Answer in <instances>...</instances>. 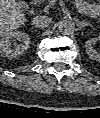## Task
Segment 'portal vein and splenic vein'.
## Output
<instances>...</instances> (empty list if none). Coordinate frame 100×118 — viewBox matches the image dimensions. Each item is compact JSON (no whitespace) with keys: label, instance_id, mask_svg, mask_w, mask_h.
Returning a JSON list of instances; mask_svg holds the SVG:
<instances>
[{"label":"portal vein and splenic vein","instance_id":"portal-vein-and-splenic-vein-1","mask_svg":"<svg viewBox=\"0 0 100 118\" xmlns=\"http://www.w3.org/2000/svg\"><path fill=\"white\" fill-rule=\"evenodd\" d=\"M55 2H56V0H49V5L47 7H50V6L54 5Z\"/></svg>","mask_w":100,"mask_h":118}]
</instances>
